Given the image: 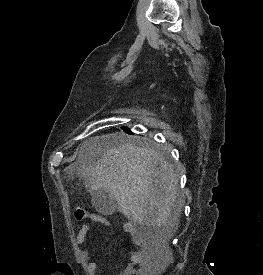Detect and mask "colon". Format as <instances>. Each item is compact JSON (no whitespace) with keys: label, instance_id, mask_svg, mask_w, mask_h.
Returning <instances> with one entry per match:
<instances>
[{"label":"colon","instance_id":"5ec220e1","mask_svg":"<svg viewBox=\"0 0 263 275\" xmlns=\"http://www.w3.org/2000/svg\"><path fill=\"white\" fill-rule=\"evenodd\" d=\"M75 216L78 220H84V219H91L92 216L88 213H86L84 210H81V209H78L76 212H75ZM160 252L159 248L158 247H152L150 249V253L153 255V256H157V254ZM157 262V261H155ZM156 265L154 264L153 265V273L155 272L156 270Z\"/></svg>","mask_w":263,"mask_h":275}]
</instances>
